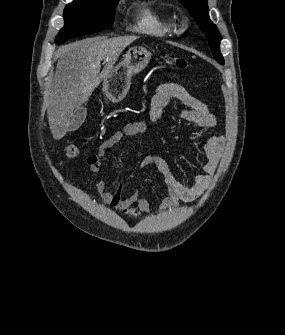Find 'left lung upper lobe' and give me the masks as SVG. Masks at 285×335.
Returning <instances> with one entry per match:
<instances>
[{
	"mask_svg": "<svg viewBox=\"0 0 285 335\" xmlns=\"http://www.w3.org/2000/svg\"><path fill=\"white\" fill-rule=\"evenodd\" d=\"M189 10L198 27L205 34L216 61L224 64L220 53L219 31L209 18L207 0H179Z\"/></svg>",
	"mask_w": 285,
	"mask_h": 335,
	"instance_id": "5c2ea615",
	"label": "left lung upper lobe"
}]
</instances>
